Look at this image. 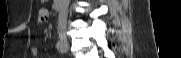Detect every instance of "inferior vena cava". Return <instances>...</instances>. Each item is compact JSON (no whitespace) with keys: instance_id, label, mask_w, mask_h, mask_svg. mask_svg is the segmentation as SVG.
<instances>
[{"instance_id":"obj_1","label":"inferior vena cava","mask_w":181,"mask_h":58,"mask_svg":"<svg viewBox=\"0 0 181 58\" xmlns=\"http://www.w3.org/2000/svg\"><path fill=\"white\" fill-rule=\"evenodd\" d=\"M61 5H62V8L59 14V22H58L59 34H63L66 29L67 9L69 5V0H61Z\"/></svg>"}]
</instances>
